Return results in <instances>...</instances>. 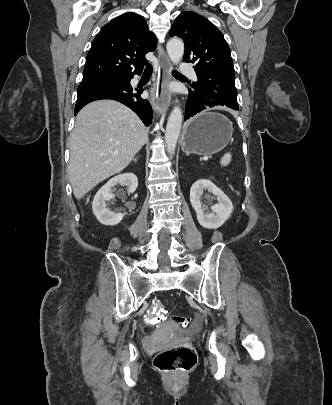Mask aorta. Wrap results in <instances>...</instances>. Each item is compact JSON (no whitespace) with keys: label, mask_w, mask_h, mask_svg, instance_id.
I'll list each match as a JSON object with an SVG mask.
<instances>
[{"label":"aorta","mask_w":332,"mask_h":405,"mask_svg":"<svg viewBox=\"0 0 332 405\" xmlns=\"http://www.w3.org/2000/svg\"><path fill=\"white\" fill-rule=\"evenodd\" d=\"M167 53L174 64H178L184 55V43L180 39L173 38L167 43ZM182 111L179 107H174L170 113L166 125L165 142L167 152L173 155L176 149L178 137L182 126Z\"/></svg>","instance_id":"1"}]
</instances>
